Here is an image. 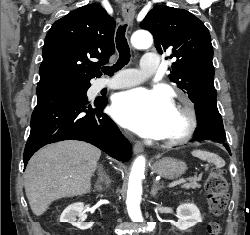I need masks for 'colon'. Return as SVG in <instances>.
<instances>
[{"mask_svg":"<svg viewBox=\"0 0 250 235\" xmlns=\"http://www.w3.org/2000/svg\"><path fill=\"white\" fill-rule=\"evenodd\" d=\"M205 190L210 212L216 217L221 216L226 210L229 199L225 171L213 169L205 181ZM207 229L209 235H219L221 231L220 224L216 221L210 222Z\"/></svg>","mask_w":250,"mask_h":235,"instance_id":"obj_1","label":"colon"}]
</instances>
